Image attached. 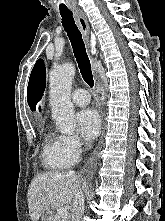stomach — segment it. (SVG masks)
<instances>
[{
    "label": "stomach",
    "instance_id": "obj_1",
    "mask_svg": "<svg viewBox=\"0 0 165 221\" xmlns=\"http://www.w3.org/2000/svg\"><path fill=\"white\" fill-rule=\"evenodd\" d=\"M41 221H51V215L46 213L41 216Z\"/></svg>",
    "mask_w": 165,
    "mask_h": 221
}]
</instances>
